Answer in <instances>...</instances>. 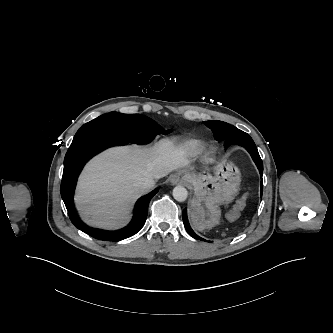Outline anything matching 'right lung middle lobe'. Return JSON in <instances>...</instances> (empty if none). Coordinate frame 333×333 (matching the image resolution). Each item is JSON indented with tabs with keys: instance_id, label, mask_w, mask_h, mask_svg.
Segmentation results:
<instances>
[{
	"instance_id": "right-lung-middle-lobe-1",
	"label": "right lung middle lobe",
	"mask_w": 333,
	"mask_h": 333,
	"mask_svg": "<svg viewBox=\"0 0 333 333\" xmlns=\"http://www.w3.org/2000/svg\"><path fill=\"white\" fill-rule=\"evenodd\" d=\"M101 131L127 140L133 144L150 143L157 134H168L155 121L141 114L110 112L84 124L75 134L79 137L89 132Z\"/></svg>"
}]
</instances>
